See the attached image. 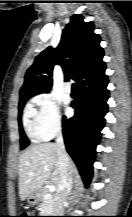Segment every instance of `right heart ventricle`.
<instances>
[{
	"instance_id": "1",
	"label": "right heart ventricle",
	"mask_w": 132,
	"mask_h": 217,
	"mask_svg": "<svg viewBox=\"0 0 132 217\" xmlns=\"http://www.w3.org/2000/svg\"><path fill=\"white\" fill-rule=\"evenodd\" d=\"M24 127L29 136L39 139L37 129V113L32 106H28L24 115Z\"/></svg>"
}]
</instances>
